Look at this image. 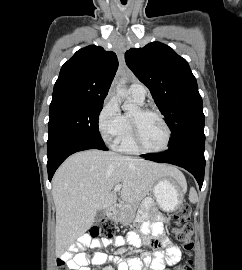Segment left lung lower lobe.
<instances>
[{"label": "left lung lower lobe", "mask_w": 242, "mask_h": 270, "mask_svg": "<svg viewBox=\"0 0 242 270\" xmlns=\"http://www.w3.org/2000/svg\"><path fill=\"white\" fill-rule=\"evenodd\" d=\"M204 147L205 135H198L169 147L164 153L145 154L141 157L159 163L174 164L188 170L196 178L201 189L205 170Z\"/></svg>", "instance_id": "0a47b994"}]
</instances>
